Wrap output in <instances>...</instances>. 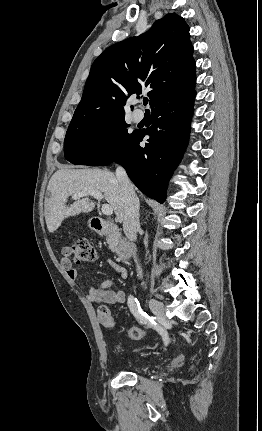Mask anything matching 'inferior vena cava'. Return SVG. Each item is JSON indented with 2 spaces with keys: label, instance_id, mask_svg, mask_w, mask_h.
<instances>
[{
  "label": "inferior vena cava",
  "instance_id": "inferior-vena-cava-1",
  "mask_svg": "<svg viewBox=\"0 0 262 431\" xmlns=\"http://www.w3.org/2000/svg\"><path fill=\"white\" fill-rule=\"evenodd\" d=\"M116 178L124 192V233L129 240L136 241L137 231L140 227L139 199L136 196L133 185L123 167H117ZM137 272L140 278H142V268L139 264H137Z\"/></svg>",
  "mask_w": 262,
  "mask_h": 431
}]
</instances>
